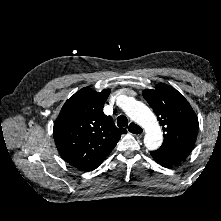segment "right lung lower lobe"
Listing matches in <instances>:
<instances>
[{
	"label": "right lung lower lobe",
	"instance_id": "obj_1",
	"mask_svg": "<svg viewBox=\"0 0 221 221\" xmlns=\"http://www.w3.org/2000/svg\"><path fill=\"white\" fill-rule=\"evenodd\" d=\"M99 165H100V164H99ZM99 165H96V166H93V167L87 168V169H82V170H84V171H91V170L96 169Z\"/></svg>",
	"mask_w": 221,
	"mask_h": 221
}]
</instances>
